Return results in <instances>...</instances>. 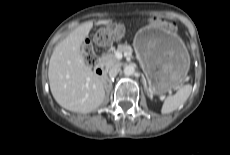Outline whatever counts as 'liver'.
<instances>
[{"instance_id": "6515ba94", "label": "liver", "mask_w": 230, "mask_h": 155, "mask_svg": "<svg viewBox=\"0 0 230 155\" xmlns=\"http://www.w3.org/2000/svg\"><path fill=\"white\" fill-rule=\"evenodd\" d=\"M110 22L99 20L95 25ZM92 27L93 22L88 21L71 31L56 45L49 61L51 93L60 106L72 112H92L105 98L104 79L85 64L81 55V46Z\"/></svg>"}]
</instances>
